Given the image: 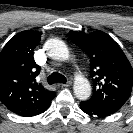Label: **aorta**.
<instances>
[{
	"instance_id": "762f6f07",
	"label": "aorta",
	"mask_w": 133,
	"mask_h": 133,
	"mask_svg": "<svg viewBox=\"0 0 133 133\" xmlns=\"http://www.w3.org/2000/svg\"><path fill=\"white\" fill-rule=\"evenodd\" d=\"M45 50L55 60H66L69 58L67 45L60 39L53 38L46 41ZM75 96L80 100H87L91 95L89 81L83 76H77L73 86Z\"/></svg>"
}]
</instances>
